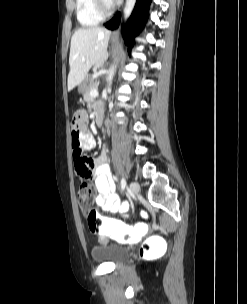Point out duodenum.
Masks as SVG:
<instances>
[{
  "label": "duodenum",
  "mask_w": 247,
  "mask_h": 304,
  "mask_svg": "<svg viewBox=\"0 0 247 304\" xmlns=\"http://www.w3.org/2000/svg\"><path fill=\"white\" fill-rule=\"evenodd\" d=\"M86 82H91V79H86ZM80 85L84 86L85 82L81 81ZM102 118H103V111H102V109L101 108L96 109V111H95L96 122L100 123L102 121ZM98 129H101V126H98Z\"/></svg>",
  "instance_id": "obj_1"
}]
</instances>
